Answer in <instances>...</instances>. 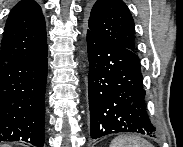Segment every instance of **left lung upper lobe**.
<instances>
[{"mask_svg":"<svg viewBox=\"0 0 183 147\" xmlns=\"http://www.w3.org/2000/svg\"><path fill=\"white\" fill-rule=\"evenodd\" d=\"M86 23L87 33L136 50L134 21L122 0H97Z\"/></svg>","mask_w":183,"mask_h":147,"instance_id":"left-lung-upper-lobe-1","label":"left lung upper lobe"}]
</instances>
